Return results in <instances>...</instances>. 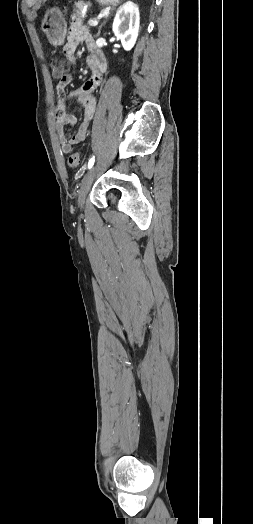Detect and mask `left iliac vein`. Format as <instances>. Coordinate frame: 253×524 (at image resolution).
I'll list each match as a JSON object with an SVG mask.
<instances>
[{
  "instance_id": "obj_1",
  "label": "left iliac vein",
  "mask_w": 253,
  "mask_h": 524,
  "mask_svg": "<svg viewBox=\"0 0 253 524\" xmlns=\"http://www.w3.org/2000/svg\"><path fill=\"white\" fill-rule=\"evenodd\" d=\"M98 166H93L84 176L78 197V205L82 209L85 204L87 193L89 192L94 181Z\"/></svg>"
}]
</instances>
